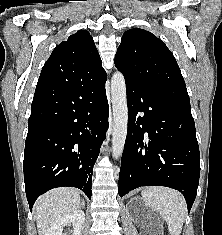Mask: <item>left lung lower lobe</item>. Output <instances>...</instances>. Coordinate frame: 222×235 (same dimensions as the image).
Wrapping results in <instances>:
<instances>
[{
    "instance_id": "1",
    "label": "left lung lower lobe",
    "mask_w": 222,
    "mask_h": 235,
    "mask_svg": "<svg viewBox=\"0 0 222 235\" xmlns=\"http://www.w3.org/2000/svg\"><path fill=\"white\" fill-rule=\"evenodd\" d=\"M126 81L128 132L119 195L141 186L179 190L190 211L197 194L200 154L189 106Z\"/></svg>"
}]
</instances>
